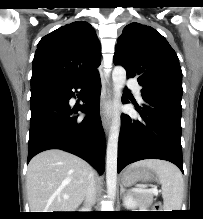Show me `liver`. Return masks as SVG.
Masks as SVG:
<instances>
[{
  "mask_svg": "<svg viewBox=\"0 0 203 219\" xmlns=\"http://www.w3.org/2000/svg\"><path fill=\"white\" fill-rule=\"evenodd\" d=\"M92 175V167L73 154L58 149L39 153L27 171L31 212H74L85 198Z\"/></svg>",
  "mask_w": 203,
  "mask_h": 219,
  "instance_id": "1",
  "label": "liver"
}]
</instances>
